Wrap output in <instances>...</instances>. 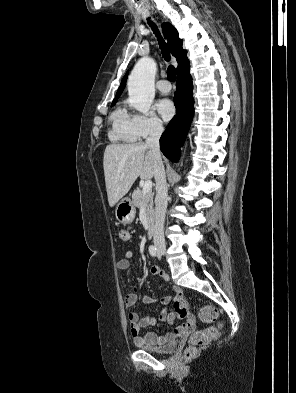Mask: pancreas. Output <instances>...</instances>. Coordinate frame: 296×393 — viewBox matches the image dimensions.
I'll return each mask as SVG.
<instances>
[{
  "label": "pancreas",
  "instance_id": "obj_1",
  "mask_svg": "<svg viewBox=\"0 0 296 393\" xmlns=\"http://www.w3.org/2000/svg\"><path fill=\"white\" fill-rule=\"evenodd\" d=\"M132 200L134 206L145 209L148 224L152 226L154 222L153 193L151 191L143 193L140 188H137L132 194Z\"/></svg>",
  "mask_w": 296,
  "mask_h": 393
}]
</instances>
